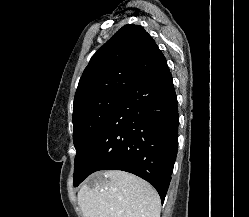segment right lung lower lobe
Here are the masks:
<instances>
[{
	"instance_id": "obj_1",
	"label": "right lung lower lobe",
	"mask_w": 249,
	"mask_h": 217,
	"mask_svg": "<svg viewBox=\"0 0 249 217\" xmlns=\"http://www.w3.org/2000/svg\"><path fill=\"white\" fill-rule=\"evenodd\" d=\"M179 115L172 75L162 58L117 104L80 162L78 186L98 170L133 173L164 201L178 149Z\"/></svg>"
}]
</instances>
